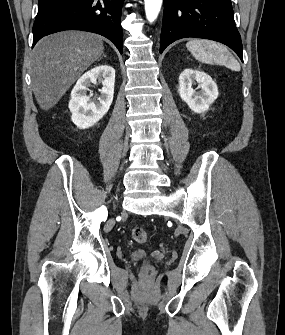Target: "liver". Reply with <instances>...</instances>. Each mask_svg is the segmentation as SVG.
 <instances>
[{"label":"liver","mask_w":285,"mask_h":335,"mask_svg":"<svg viewBox=\"0 0 285 335\" xmlns=\"http://www.w3.org/2000/svg\"><path fill=\"white\" fill-rule=\"evenodd\" d=\"M104 52L101 36L58 32L36 44L30 60L32 90L41 110H51Z\"/></svg>","instance_id":"obj_1"}]
</instances>
